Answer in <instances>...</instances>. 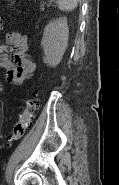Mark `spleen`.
Segmentation results:
<instances>
[{
	"instance_id": "obj_1",
	"label": "spleen",
	"mask_w": 119,
	"mask_h": 185,
	"mask_svg": "<svg viewBox=\"0 0 119 185\" xmlns=\"http://www.w3.org/2000/svg\"><path fill=\"white\" fill-rule=\"evenodd\" d=\"M58 7L62 11H71L77 7L78 0H57Z\"/></svg>"
}]
</instances>
